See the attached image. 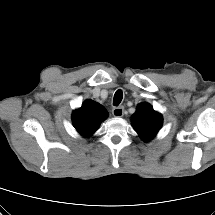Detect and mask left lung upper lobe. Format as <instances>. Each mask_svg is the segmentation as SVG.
<instances>
[{"label": "left lung upper lobe", "instance_id": "1", "mask_svg": "<svg viewBox=\"0 0 215 215\" xmlns=\"http://www.w3.org/2000/svg\"><path fill=\"white\" fill-rule=\"evenodd\" d=\"M132 126L144 141L153 139L162 126V116L148 103H140L132 116Z\"/></svg>", "mask_w": 215, "mask_h": 215}]
</instances>
